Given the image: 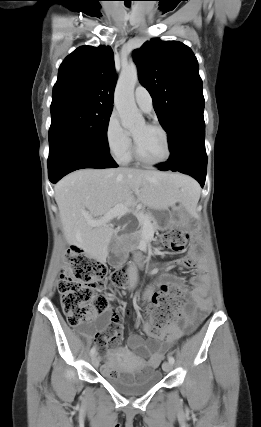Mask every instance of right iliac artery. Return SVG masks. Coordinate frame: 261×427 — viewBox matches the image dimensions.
I'll list each match as a JSON object with an SVG mask.
<instances>
[{
    "instance_id": "82829eb1",
    "label": "right iliac artery",
    "mask_w": 261,
    "mask_h": 427,
    "mask_svg": "<svg viewBox=\"0 0 261 427\" xmlns=\"http://www.w3.org/2000/svg\"><path fill=\"white\" fill-rule=\"evenodd\" d=\"M96 353V348L95 347H93L92 349H91V351H90V354L91 355H94Z\"/></svg>"
}]
</instances>
